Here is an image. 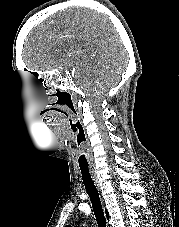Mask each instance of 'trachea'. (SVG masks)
<instances>
[{"label": "trachea", "mask_w": 179, "mask_h": 227, "mask_svg": "<svg viewBox=\"0 0 179 227\" xmlns=\"http://www.w3.org/2000/svg\"><path fill=\"white\" fill-rule=\"evenodd\" d=\"M76 157L80 158L77 160V163L81 170L83 183L85 185L86 191L92 203V207H93V211H94V215H95L98 227H106V220L103 214L99 192L89 173V167L87 163L88 161L87 159H85L86 158L85 151L79 150L76 154Z\"/></svg>", "instance_id": "3493384b"}]
</instances>
